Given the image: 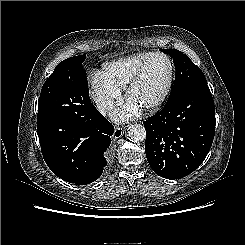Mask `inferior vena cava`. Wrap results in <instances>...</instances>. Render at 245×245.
<instances>
[{
  "label": "inferior vena cava",
  "instance_id": "1",
  "mask_svg": "<svg viewBox=\"0 0 245 245\" xmlns=\"http://www.w3.org/2000/svg\"><path fill=\"white\" fill-rule=\"evenodd\" d=\"M96 107L100 113L105 115L113 108V103L111 101L101 100L96 103Z\"/></svg>",
  "mask_w": 245,
  "mask_h": 245
}]
</instances>
